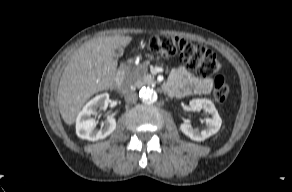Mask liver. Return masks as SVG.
<instances>
[{
  "label": "liver",
  "instance_id": "liver-1",
  "mask_svg": "<svg viewBox=\"0 0 292 192\" xmlns=\"http://www.w3.org/2000/svg\"><path fill=\"white\" fill-rule=\"evenodd\" d=\"M130 36H106L85 42L71 55L58 87L59 111L72 125L85 102L95 93L111 88L117 60L113 49L126 47Z\"/></svg>",
  "mask_w": 292,
  "mask_h": 192
}]
</instances>
